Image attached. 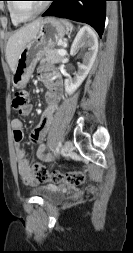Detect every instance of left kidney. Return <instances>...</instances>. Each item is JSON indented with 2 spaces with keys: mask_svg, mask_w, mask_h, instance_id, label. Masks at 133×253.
I'll list each match as a JSON object with an SVG mask.
<instances>
[{
  "mask_svg": "<svg viewBox=\"0 0 133 253\" xmlns=\"http://www.w3.org/2000/svg\"><path fill=\"white\" fill-rule=\"evenodd\" d=\"M79 48H88V51L84 54L83 63L78 65V71L74 78L65 79V90L68 94H72L82 84L91 70L98 52V39L90 27L80 29L73 41L70 53H76Z\"/></svg>",
  "mask_w": 133,
  "mask_h": 253,
  "instance_id": "5707ae66",
  "label": "left kidney"
}]
</instances>
